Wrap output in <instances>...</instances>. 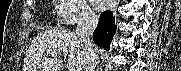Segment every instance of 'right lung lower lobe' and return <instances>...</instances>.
I'll use <instances>...</instances> for the list:
<instances>
[{
    "instance_id": "98d812e1",
    "label": "right lung lower lobe",
    "mask_w": 181,
    "mask_h": 71,
    "mask_svg": "<svg viewBox=\"0 0 181 71\" xmlns=\"http://www.w3.org/2000/svg\"><path fill=\"white\" fill-rule=\"evenodd\" d=\"M116 32L115 25V16L113 12L106 11L101 13L98 26L93 32L94 42L105 48L106 50L110 49V42Z\"/></svg>"
}]
</instances>
